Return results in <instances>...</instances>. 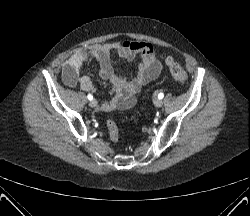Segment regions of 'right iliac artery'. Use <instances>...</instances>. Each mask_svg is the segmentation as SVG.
Returning a JSON list of instances; mask_svg holds the SVG:
<instances>
[{
  "mask_svg": "<svg viewBox=\"0 0 250 216\" xmlns=\"http://www.w3.org/2000/svg\"><path fill=\"white\" fill-rule=\"evenodd\" d=\"M87 98H88L89 100H92V99H93V96H92L91 94H88Z\"/></svg>",
  "mask_w": 250,
  "mask_h": 216,
  "instance_id": "1",
  "label": "right iliac artery"
}]
</instances>
